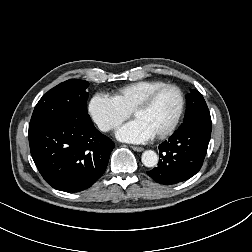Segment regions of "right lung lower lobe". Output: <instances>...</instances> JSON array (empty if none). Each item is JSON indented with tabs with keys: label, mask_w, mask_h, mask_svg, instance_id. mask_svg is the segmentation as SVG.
<instances>
[{
	"label": "right lung lower lobe",
	"mask_w": 252,
	"mask_h": 252,
	"mask_svg": "<svg viewBox=\"0 0 252 252\" xmlns=\"http://www.w3.org/2000/svg\"><path fill=\"white\" fill-rule=\"evenodd\" d=\"M34 163L46 182L65 192H79L104 173L113 141L92 121L64 118L29 126Z\"/></svg>",
	"instance_id": "right-lung-lower-lobe-1"
}]
</instances>
